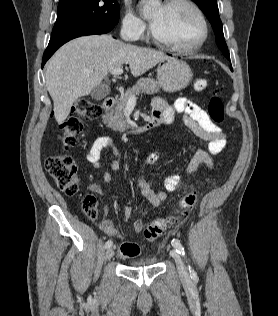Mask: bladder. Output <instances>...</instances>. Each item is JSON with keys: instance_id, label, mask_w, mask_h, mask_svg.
<instances>
[{"instance_id": "obj_1", "label": "bladder", "mask_w": 278, "mask_h": 316, "mask_svg": "<svg viewBox=\"0 0 278 316\" xmlns=\"http://www.w3.org/2000/svg\"><path fill=\"white\" fill-rule=\"evenodd\" d=\"M157 264V260L155 258H146L139 259L130 262L129 266L135 268H145V267H153Z\"/></svg>"}]
</instances>
